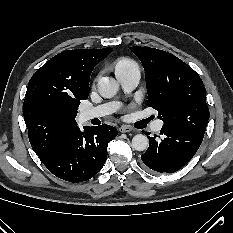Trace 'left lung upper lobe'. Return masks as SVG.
<instances>
[{
	"instance_id": "5c2ea615",
	"label": "left lung upper lobe",
	"mask_w": 233,
	"mask_h": 233,
	"mask_svg": "<svg viewBox=\"0 0 233 233\" xmlns=\"http://www.w3.org/2000/svg\"><path fill=\"white\" fill-rule=\"evenodd\" d=\"M142 62L148 106L164 125L204 137L209 119L206 90L199 75L176 56L149 47H130Z\"/></svg>"
}]
</instances>
